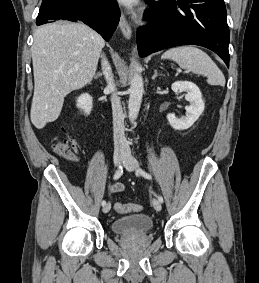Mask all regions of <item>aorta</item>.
Masks as SVG:
<instances>
[{"mask_svg":"<svg viewBox=\"0 0 259 283\" xmlns=\"http://www.w3.org/2000/svg\"><path fill=\"white\" fill-rule=\"evenodd\" d=\"M132 64L134 65L135 73L130 81L128 113H129L130 122L134 123V121L138 116L139 109L141 106L142 96L144 93V83L141 74L138 72L139 71L138 64L135 62V60L132 61Z\"/></svg>","mask_w":259,"mask_h":283,"instance_id":"762f6f07","label":"aorta"}]
</instances>
